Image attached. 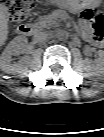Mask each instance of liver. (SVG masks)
I'll return each instance as SVG.
<instances>
[{"mask_svg":"<svg viewBox=\"0 0 104 137\" xmlns=\"http://www.w3.org/2000/svg\"><path fill=\"white\" fill-rule=\"evenodd\" d=\"M8 36V21L6 19V10L1 8L0 13V39L1 42H4Z\"/></svg>","mask_w":104,"mask_h":137,"instance_id":"obj_1","label":"liver"}]
</instances>
